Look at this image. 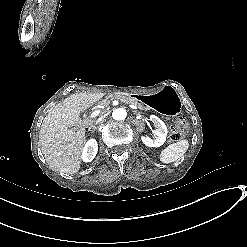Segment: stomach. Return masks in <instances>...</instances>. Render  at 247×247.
<instances>
[{
    "instance_id": "0dacf381",
    "label": "stomach",
    "mask_w": 247,
    "mask_h": 247,
    "mask_svg": "<svg viewBox=\"0 0 247 247\" xmlns=\"http://www.w3.org/2000/svg\"><path fill=\"white\" fill-rule=\"evenodd\" d=\"M139 102L150 107V109L156 110L164 115L175 116L178 115L181 110V100L170 86H164L159 91L143 94L134 95Z\"/></svg>"
}]
</instances>
